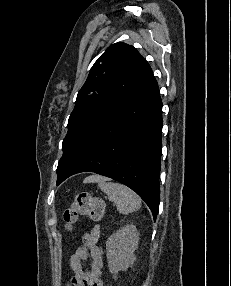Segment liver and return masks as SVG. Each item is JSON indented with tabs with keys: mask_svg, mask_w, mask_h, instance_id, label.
I'll return each instance as SVG.
<instances>
[{
	"mask_svg": "<svg viewBox=\"0 0 231 286\" xmlns=\"http://www.w3.org/2000/svg\"><path fill=\"white\" fill-rule=\"evenodd\" d=\"M103 179L102 177L100 176H90V177H87L84 182L85 183H89V182H94V181H98V180H101Z\"/></svg>",
	"mask_w": 231,
	"mask_h": 286,
	"instance_id": "1",
	"label": "liver"
}]
</instances>
